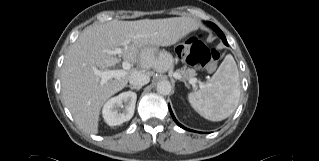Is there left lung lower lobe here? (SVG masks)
<instances>
[{
  "mask_svg": "<svg viewBox=\"0 0 319 161\" xmlns=\"http://www.w3.org/2000/svg\"><path fill=\"white\" fill-rule=\"evenodd\" d=\"M208 25H209V24H208ZM209 26H210V25H209ZM210 27H211L214 31L217 30V29H219L218 26H216V25L213 24V23H212V25H211ZM225 45H228V43H225ZM169 110H170V113H171L172 118L174 119V121L176 122V124H177L178 126H180V127L183 128V129L192 131V130H190V129L185 128L183 125H181V124L176 120V118H175V116H174V114H173V112H172V110H171L170 105H169Z\"/></svg>",
  "mask_w": 319,
  "mask_h": 161,
  "instance_id": "left-lung-lower-lobe-1",
  "label": "left lung lower lobe"
}]
</instances>
